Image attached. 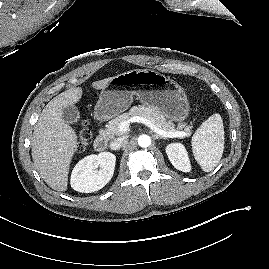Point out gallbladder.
I'll return each mask as SVG.
<instances>
[{
  "instance_id": "obj_1",
  "label": "gallbladder",
  "mask_w": 269,
  "mask_h": 269,
  "mask_svg": "<svg viewBox=\"0 0 269 269\" xmlns=\"http://www.w3.org/2000/svg\"><path fill=\"white\" fill-rule=\"evenodd\" d=\"M62 118L68 124H76L80 119V113L76 106L70 105L63 109Z\"/></svg>"
}]
</instances>
